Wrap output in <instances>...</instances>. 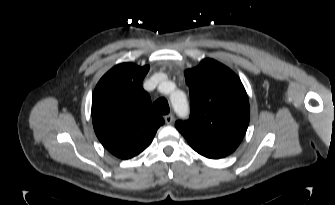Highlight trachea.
Returning <instances> with one entry per match:
<instances>
[{
  "label": "trachea",
  "instance_id": "3493384b",
  "mask_svg": "<svg viewBox=\"0 0 335 205\" xmlns=\"http://www.w3.org/2000/svg\"><path fill=\"white\" fill-rule=\"evenodd\" d=\"M153 108L155 111L162 115H166L169 113L170 108L168 101L165 98H159L153 103Z\"/></svg>",
  "mask_w": 335,
  "mask_h": 205
}]
</instances>
